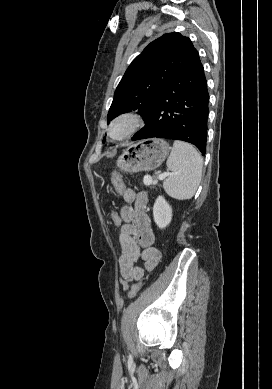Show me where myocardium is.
Here are the masks:
<instances>
[{"mask_svg": "<svg viewBox=\"0 0 272 389\" xmlns=\"http://www.w3.org/2000/svg\"><path fill=\"white\" fill-rule=\"evenodd\" d=\"M144 125L143 116L136 110H125L116 115L107 128V135L112 141H123L135 135ZM123 126L124 131L120 135H114L116 127Z\"/></svg>", "mask_w": 272, "mask_h": 389, "instance_id": "1", "label": "myocardium"}]
</instances>
